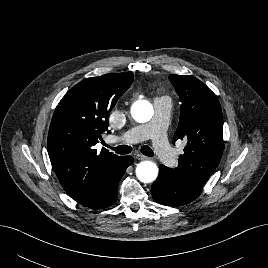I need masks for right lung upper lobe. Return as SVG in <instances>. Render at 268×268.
<instances>
[{
  "instance_id": "1",
  "label": "right lung upper lobe",
  "mask_w": 268,
  "mask_h": 268,
  "mask_svg": "<svg viewBox=\"0 0 268 268\" xmlns=\"http://www.w3.org/2000/svg\"><path fill=\"white\" fill-rule=\"evenodd\" d=\"M133 73L86 78L57 105L48 133L52 167L64 190L78 203L89 200L119 156L94 146L108 130L109 113L131 86Z\"/></svg>"
}]
</instances>
